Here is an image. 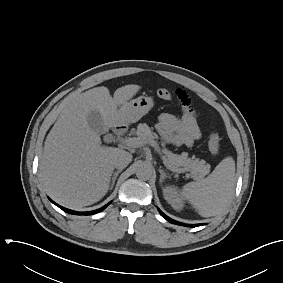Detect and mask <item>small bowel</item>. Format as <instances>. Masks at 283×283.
Masks as SVG:
<instances>
[{
	"label": "small bowel",
	"mask_w": 283,
	"mask_h": 283,
	"mask_svg": "<svg viewBox=\"0 0 283 283\" xmlns=\"http://www.w3.org/2000/svg\"><path fill=\"white\" fill-rule=\"evenodd\" d=\"M175 93L182 104V116L177 117L170 113H162L156 127L167 143L176 147H190L201 137L198 115L192 108L190 97L184 90L175 89Z\"/></svg>",
	"instance_id": "small-bowel-1"
}]
</instances>
